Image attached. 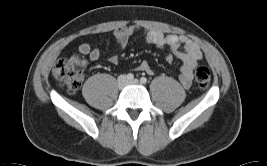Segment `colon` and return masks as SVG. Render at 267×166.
<instances>
[{
	"label": "colon",
	"mask_w": 267,
	"mask_h": 166,
	"mask_svg": "<svg viewBox=\"0 0 267 166\" xmlns=\"http://www.w3.org/2000/svg\"><path fill=\"white\" fill-rule=\"evenodd\" d=\"M84 61L80 58H71L60 61L54 67V76L59 85L65 87L69 93H74L80 84L84 69ZM197 83L200 88L205 89L211 83V75L207 67H200L196 73Z\"/></svg>",
	"instance_id": "colon-1"
}]
</instances>
